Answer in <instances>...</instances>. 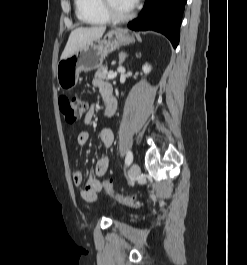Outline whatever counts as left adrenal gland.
I'll use <instances>...</instances> for the list:
<instances>
[{
    "instance_id": "left-adrenal-gland-1",
    "label": "left adrenal gland",
    "mask_w": 247,
    "mask_h": 265,
    "mask_svg": "<svg viewBox=\"0 0 247 265\" xmlns=\"http://www.w3.org/2000/svg\"><path fill=\"white\" fill-rule=\"evenodd\" d=\"M127 57V55L123 52H121L119 54V64L122 65V63L125 61V58Z\"/></svg>"
}]
</instances>
